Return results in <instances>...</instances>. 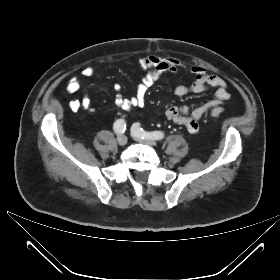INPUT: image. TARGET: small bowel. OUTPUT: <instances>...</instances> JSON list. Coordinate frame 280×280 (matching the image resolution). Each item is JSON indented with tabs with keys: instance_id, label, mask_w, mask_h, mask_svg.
<instances>
[{
	"instance_id": "obj_1",
	"label": "small bowel",
	"mask_w": 280,
	"mask_h": 280,
	"mask_svg": "<svg viewBox=\"0 0 280 280\" xmlns=\"http://www.w3.org/2000/svg\"><path fill=\"white\" fill-rule=\"evenodd\" d=\"M139 65L143 71V76L132 97L124 98L119 94L120 87L115 86L117 91L115 104L124 112H129L134 107L144 105L148 89L163 74H175L181 69H187L194 77V81L190 85H178L174 90L175 95L182 97L189 93H202L207 90H213V98L198 106L195 104L172 106L165 112L168 120L183 125L190 133H197L201 117L212 109L220 108L230 98L226 81L217 75L208 73L202 66L194 65L187 68L177 59L161 55L143 56L139 60ZM81 73L84 77L90 78L95 75V69L92 66H85ZM67 87L71 93H77L81 89V82L77 77H71L67 82ZM69 107L75 112L80 110L90 111L92 109L91 101L87 96L69 101Z\"/></svg>"
}]
</instances>
